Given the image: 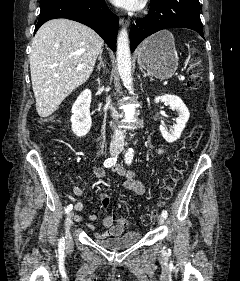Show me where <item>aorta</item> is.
<instances>
[{
    "label": "aorta",
    "mask_w": 240,
    "mask_h": 281,
    "mask_svg": "<svg viewBox=\"0 0 240 281\" xmlns=\"http://www.w3.org/2000/svg\"><path fill=\"white\" fill-rule=\"evenodd\" d=\"M117 66L124 86L134 94L131 75V55L127 30L122 29L117 37Z\"/></svg>",
    "instance_id": "aorta-1"
}]
</instances>
